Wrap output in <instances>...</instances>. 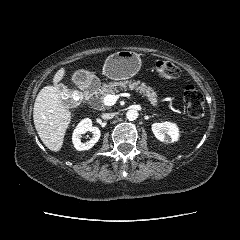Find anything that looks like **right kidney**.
I'll list each match as a JSON object with an SVG mask.
<instances>
[{"instance_id":"right-kidney-1","label":"right kidney","mask_w":240,"mask_h":240,"mask_svg":"<svg viewBox=\"0 0 240 240\" xmlns=\"http://www.w3.org/2000/svg\"><path fill=\"white\" fill-rule=\"evenodd\" d=\"M87 131L92 132L93 136L91 140L83 143L81 142V135L86 133ZM101 133L98 127L92 125V121L89 118L83 119L75 128L72 136V141L74 147L78 151H84L91 149L95 143L100 139Z\"/></svg>"}]
</instances>
